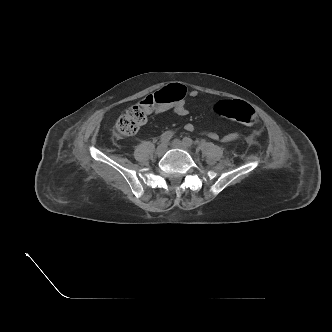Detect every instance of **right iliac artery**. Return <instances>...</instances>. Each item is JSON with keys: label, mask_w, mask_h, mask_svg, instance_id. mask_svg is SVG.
Here are the masks:
<instances>
[{"label": "right iliac artery", "mask_w": 332, "mask_h": 332, "mask_svg": "<svg viewBox=\"0 0 332 332\" xmlns=\"http://www.w3.org/2000/svg\"><path fill=\"white\" fill-rule=\"evenodd\" d=\"M173 136V131H166L161 135L160 142L167 143Z\"/></svg>", "instance_id": "82829eb1"}]
</instances>
